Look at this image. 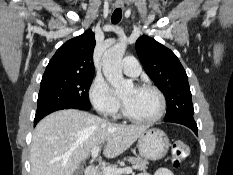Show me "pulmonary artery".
I'll list each match as a JSON object with an SVG mask.
<instances>
[{
    "label": "pulmonary artery",
    "instance_id": "obj_1",
    "mask_svg": "<svg viewBox=\"0 0 233 175\" xmlns=\"http://www.w3.org/2000/svg\"><path fill=\"white\" fill-rule=\"evenodd\" d=\"M124 74L130 77H136L141 72L139 62L134 57H126L122 63Z\"/></svg>",
    "mask_w": 233,
    "mask_h": 175
}]
</instances>
